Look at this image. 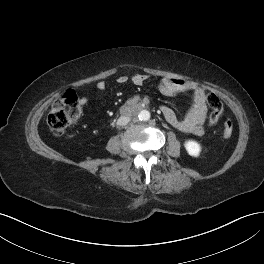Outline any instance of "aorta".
<instances>
[{
  "label": "aorta",
  "instance_id": "obj_1",
  "mask_svg": "<svg viewBox=\"0 0 264 264\" xmlns=\"http://www.w3.org/2000/svg\"><path fill=\"white\" fill-rule=\"evenodd\" d=\"M150 112L147 110H141L138 114H137V119L140 121H148L150 119Z\"/></svg>",
  "mask_w": 264,
  "mask_h": 264
}]
</instances>
